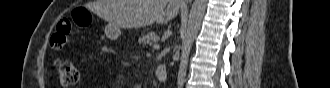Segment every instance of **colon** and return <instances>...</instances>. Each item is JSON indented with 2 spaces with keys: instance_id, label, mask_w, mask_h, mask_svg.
<instances>
[{
  "instance_id": "1",
  "label": "colon",
  "mask_w": 330,
  "mask_h": 88,
  "mask_svg": "<svg viewBox=\"0 0 330 88\" xmlns=\"http://www.w3.org/2000/svg\"><path fill=\"white\" fill-rule=\"evenodd\" d=\"M72 17L79 26H86L90 22V16L81 8L75 9L72 13ZM71 31V20L67 17L61 18L57 22L55 31L50 37L51 49L54 51L63 49L67 44V39ZM54 65L58 81L62 86L70 87L77 84L79 80V69L75 61L56 60Z\"/></svg>"
}]
</instances>
